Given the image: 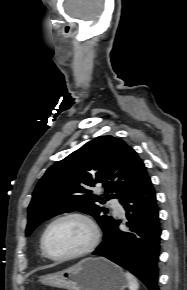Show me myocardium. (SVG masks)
<instances>
[{
  "label": "myocardium",
  "mask_w": 187,
  "mask_h": 290,
  "mask_svg": "<svg viewBox=\"0 0 187 290\" xmlns=\"http://www.w3.org/2000/svg\"><path fill=\"white\" fill-rule=\"evenodd\" d=\"M66 219H78L80 221H82L84 224H86V226L88 227L90 234H91V238L89 243L81 250L70 253V254H66V255H62V256H54L50 253L48 246H47V238L49 235L50 230L52 229V227L57 224L60 221L66 220ZM100 230L99 227L97 225V223L95 222V220L87 213L85 212H81V211H71V212H66L64 214H61L59 216H57L56 218H54L45 228L43 235L41 237V249L43 254L53 260V261H66V260H71V259H75V258H79V257H83L86 256L88 254H90L91 252H93L96 247L98 246L99 242H100Z\"/></svg>",
  "instance_id": "myocardium-1"
}]
</instances>
